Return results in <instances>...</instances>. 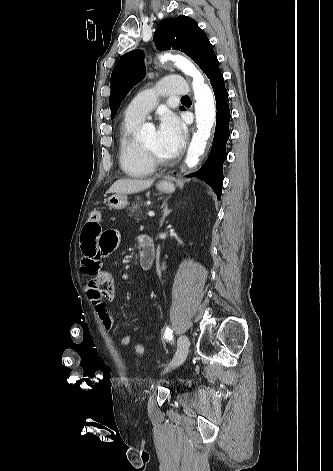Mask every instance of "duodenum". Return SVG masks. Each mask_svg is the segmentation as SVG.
Wrapping results in <instances>:
<instances>
[{"mask_svg": "<svg viewBox=\"0 0 333 471\" xmlns=\"http://www.w3.org/2000/svg\"><path fill=\"white\" fill-rule=\"evenodd\" d=\"M155 258V248L152 240L145 239L140 244L139 266L143 270L149 269Z\"/></svg>", "mask_w": 333, "mask_h": 471, "instance_id": "1", "label": "duodenum"}]
</instances>
